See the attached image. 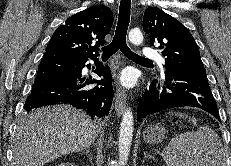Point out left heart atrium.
Wrapping results in <instances>:
<instances>
[{
    "instance_id": "1",
    "label": "left heart atrium",
    "mask_w": 231,
    "mask_h": 166,
    "mask_svg": "<svg viewBox=\"0 0 231 166\" xmlns=\"http://www.w3.org/2000/svg\"><path fill=\"white\" fill-rule=\"evenodd\" d=\"M119 80H120L121 84L126 86V87H131L136 82L135 74L130 69L122 71V73L119 76Z\"/></svg>"
}]
</instances>
